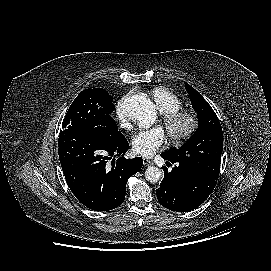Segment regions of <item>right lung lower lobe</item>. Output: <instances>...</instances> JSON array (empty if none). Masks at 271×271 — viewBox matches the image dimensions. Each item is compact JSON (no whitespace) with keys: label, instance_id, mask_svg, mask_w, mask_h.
<instances>
[{"label":"right lung lower lobe","instance_id":"1","mask_svg":"<svg viewBox=\"0 0 271 271\" xmlns=\"http://www.w3.org/2000/svg\"><path fill=\"white\" fill-rule=\"evenodd\" d=\"M59 160L75 197L95 211H108L122 204L126 183L143 164L140 157H120L112 166L108 160L126 153L129 144L119 133L113 141H102L78 132L60 134Z\"/></svg>","mask_w":271,"mask_h":271}]
</instances>
